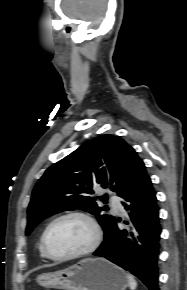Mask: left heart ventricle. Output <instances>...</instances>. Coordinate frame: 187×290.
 <instances>
[{
    "label": "left heart ventricle",
    "mask_w": 187,
    "mask_h": 290,
    "mask_svg": "<svg viewBox=\"0 0 187 290\" xmlns=\"http://www.w3.org/2000/svg\"><path fill=\"white\" fill-rule=\"evenodd\" d=\"M92 240V231L82 219L71 217L57 222L50 230L48 245L54 255H67L85 249Z\"/></svg>",
    "instance_id": "obj_1"
}]
</instances>
